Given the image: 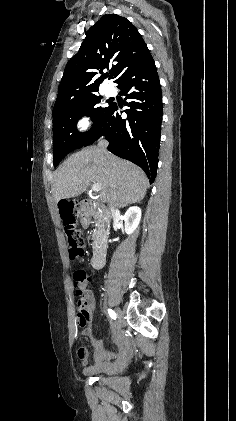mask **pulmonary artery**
Returning a JSON list of instances; mask_svg holds the SVG:
<instances>
[{
	"instance_id": "e3ab8cb5",
	"label": "pulmonary artery",
	"mask_w": 236,
	"mask_h": 421,
	"mask_svg": "<svg viewBox=\"0 0 236 421\" xmlns=\"http://www.w3.org/2000/svg\"><path fill=\"white\" fill-rule=\"evenodd\" d=\"M115 94V90L112 87H106L104 89V95L107 97H111Z\"/></svg>"
}]
</instances>
